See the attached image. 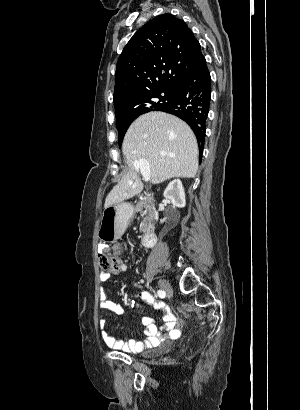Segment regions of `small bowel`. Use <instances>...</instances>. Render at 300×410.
<instances>
[{"mask_svg":"<svg viewBox=\"0 0 300 410\" xmlns=\"http://www.w3.org/2000/svg\"><path fill=\"white\" fill-rule=\"evenodd\" d=\"M110 278L109 274L101 273V282H106ZM141 300L147 301L154 309L161 312L164 320V325L161 327V333L158 331L152 318L144 317L141 320L142 333L145 336L144 341L128 340L122 341L115 338L113 334L106 330L107 321L104 318L99 319V328L101 330V337L104 343L116 350H120L127 353H136L145 350L146 348L153 347L159 344L164 338H169L177 334L180 330V325L176 318L172 314L170 308L163 302H157L147 292H141L138 296ZM100 308L106 310L115 315H121L125 312V309L119 303L108 300L103 289L100 292Z\"/></svg>","mask_w":300,"mask_h":410,"instance_id":"obj_1","label":"small bowel"}]
</instances>
